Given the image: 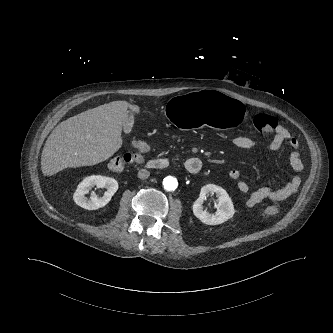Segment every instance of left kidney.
Returning <instances> with one entry per match:
<instances>
[{"mask_svg":"<svg viewBox=\"0 0 333 333\" xmlns=\"http://www.w3.org/2000/svg\"><path fill=\"white\" fill-rule=\"evenodd\" d=\"M209 193H215L219 201L215 213L207 212L202 206ZM193 213L204 224L218 225L232 218L235 210L231 198L222 187L207 184L201 188L200 197L193 204Z\"/></svg>","mask_w":333,"mask_h":333,"instance_id":"left-kidney-1","label":"left kidney"}]
</instances>
